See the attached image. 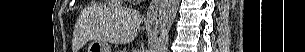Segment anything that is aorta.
Instances as JSON below:
<instances>
[{"instance_id": "aorta-1", "label": "aorta", "mask_w": 305, "mask_h": 52, "mask_svg": "<svg viewBox=\"0 0 305 52\" xmlns=\"http://www.w3.org/2000/svg\"><path fill=\"white\" fill-rule=\"evenodd\" d=\"M179 0H161L159 7V36L154 40L152 52H167L169 31L176 17Z\"/></svg>"}]
</instances>
